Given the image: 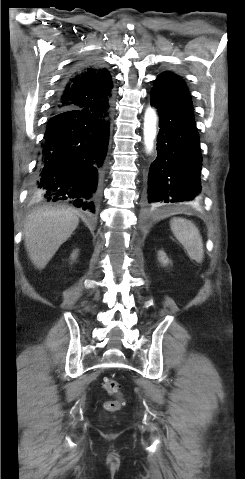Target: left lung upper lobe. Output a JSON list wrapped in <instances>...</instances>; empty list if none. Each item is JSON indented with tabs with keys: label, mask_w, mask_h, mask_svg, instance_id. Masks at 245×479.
<instances>
[{
	"label": "left lung upper lobe",
	"mask_w": 245,
	"mask_h": 479,
	"mask_svg": "<svg viewBox=\"0 0 245 479\" xmlns=\"http://www.w3.org/2000/svg\"><path fill=\"white\" fill-rule=\"evenodd\" d=\"M166 75H173V73L166 71V72H163V73H162L161 75H159V76H166Z\"/></svg>",
	"instance_id": "1"
}]
</instances>
